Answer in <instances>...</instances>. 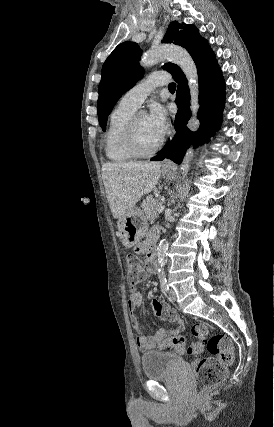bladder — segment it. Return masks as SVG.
Instances as JSON below:
<instances>
[{"mask_svg":"<svg viewBox=\"0 0 274 427\" xmlns=\"http://www.w3.org/2000/svg\"><path fill=\"white\" fill-rule=\"evenodd\" d=\"M179 361L175 352L148 350L141 355L143 373L149 380L171 376L179 368Z\"/></svg>","mask_w":274,"mask_h":427,"instance_id":"1","label":"bladder"}]
</instances>
